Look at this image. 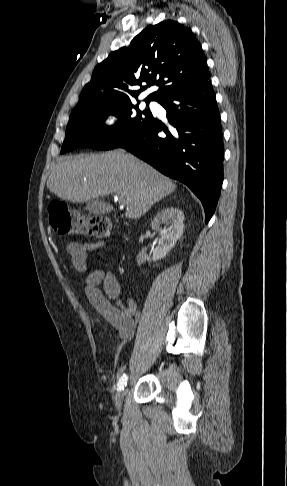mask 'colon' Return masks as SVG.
I'll return each instance as SVG.
<instances>
[{"label":"colon","mask_w":287,"mask_h":486,"mask_svg":"<svg viewBox=\"0 0 287 486\" xmlns=\"http://www.w3.org/2000/svg\"><path fill=\"white\" fill-rule=\"evenodd\" d=\"M49 224L58 234H81L106 237L110 233V222L103 216H80L71 211L61 201H53L48 206Z\"/></svg>","instance_id":"colon-1"}]
</instances>
